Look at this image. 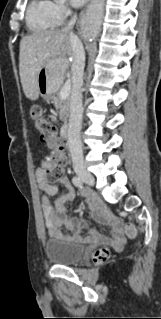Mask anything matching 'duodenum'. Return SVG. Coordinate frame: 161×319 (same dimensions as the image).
I'll return each mask as SVG.
<instances>
[{
	"label": "duodenum",
	"instance_id": "410a0bca",
	"mask_svg": "<svg viewBox=\"0 0 161 319\" xmlns=\"http://www.w3.org/2000/svg\"><path fill=\"white\" fill-rule=\"evenodd\" d=\"M61 133L64 141H68L70 138V125L68 123H64L61 128Z\"/></svg>",
	"mask_w": 161,
	"mask_h": 319
}]
</instances>
